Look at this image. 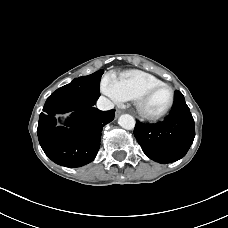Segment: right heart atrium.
I'll return each mask as SVG.
<instances>
[{
    "label": "right heart atrium",
    "mask_w": 228,
    "mask_h": 228,
    "mask_svg": "<svg viewBox=\"0 0 228 228\" xmlns=\"http://www.w3.org/2000/svg\"><path fill=\"white\" fill-rule=\"evenodd\" d=\"M102 90L114 101L116 102L124 101L123 98L117 92L116 79L111 74H108L103 78Z\"/></svg>",
    "instance_id": "1"
}]
</instances>
